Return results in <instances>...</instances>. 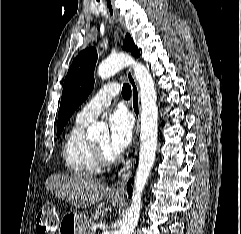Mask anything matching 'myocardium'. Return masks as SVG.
<instances>
[{"label":"myocardium","instance_id":"myocardium-1","mask_svg":"<svg viewBox=\"0 0 241 234\" xmlns=\"http://www.w3.org/2000/svg\"><path fill=\"white\" fill-rule=\"evenodd\" d=\"M94 143L95 156L100 166H111L118 162L119 155H109L104 147L96 141Z\"/></svg>","mask_w":241,"mask_h":234}]
</instances>
